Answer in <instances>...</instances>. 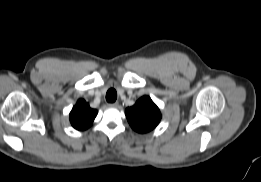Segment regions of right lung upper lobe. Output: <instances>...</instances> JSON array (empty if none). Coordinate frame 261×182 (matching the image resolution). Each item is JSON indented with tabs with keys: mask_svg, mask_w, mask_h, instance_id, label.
Masks as SVG:
<instances>
[{
	"mask_svg": "<svg viewBox=\"0 0 261 182\" xmlns=\"http://www.w3.org/2000/svg\"><path fill=\"white\" fill-rule=\"evenodd\" d=\"M96 115L97 110L90 108L85 100L79 99L69 116L70 122L75 129L85 130L92 125Z\"/></svg>",
	"mask_w": 261,
	"mask_h": 182,
	"instance_id": "obj_1",
	"label": "right lung upper lobe"
}]
</instances>
